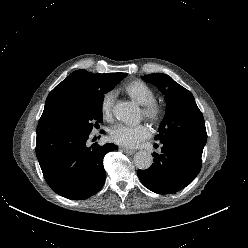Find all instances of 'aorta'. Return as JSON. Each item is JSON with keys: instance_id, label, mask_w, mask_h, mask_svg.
<instances>
[{"instance_id": "1", "label": "aorta", "mask_w": 248, "mask_h": 248, "mask_svg": "<svg viewBox=\"0 0 248 248\" xmlns=\"http://www.w3.org/2000/svg\"><path fill=\"white\" fill-rule=\"evenodd\" d=\"M114 116L124 123H133L137 118L138 108L131 102H118L113 110ZM153 163L152 155L147 151H138L134 155V165L141 170L150 168Z\"/></svg>"}]
</instances>
